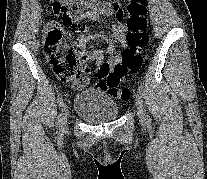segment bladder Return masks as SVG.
Returning <instances> with one entry per match:
<instances>
[{"mask_svg": "<svg viewBox=\"0 0 207 179\" xmlns=\"http://www.w3.org/2000/svg\"><path fill=\"white\" fill-rule=\"evenodd\" d=\"M74 112L90 124H101L115 120L119 107L104 89L89 87L75 95Z\"/></svg>", "mask_w": 207, "mask_h": 179, "instance_id": "31cf9c89", "label": "bladder"}]
</instances>
